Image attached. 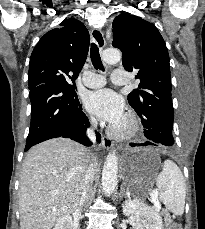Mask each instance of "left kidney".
<instances>
[{
  "mask_svg": "<svg viewBox=\"0 0 205 229\" xmlns=\"http://www.w3.org/2000/svg\"><path fill=\"white\" fill-rule=\"evenodd\" d=\"M122 207L125 216H134V229H162V218L156 209L146 205L140 199L129 198Z\"/></svg>",
  "mask_w": 205,
  "mask_h": 229,
  "instance_id": "left-kidney-1",
  "label": "left kidney"
}]
</instances>
